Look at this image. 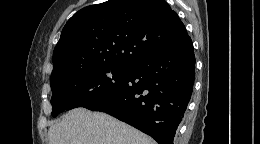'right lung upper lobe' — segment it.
Instances as JSON below:
<instances>
[{
    "instance_id": "right-lung-upper-lobe-1",
    "label": "right lung upper lobe",
    "mask_w": 260,
    "mask_h": 144,
    "mask_svg": "<svg viewBox=\"0 0 260 144\" xmlns=\"http://www.w3.org/2000/svg\"><path fill=\"white\" fill-rule=\"evenodd\" d=\"M188 37L164 0H109L76 12L53 52L52 77L98 65L129 67Z\"/></svg>"
}]
</instances>
